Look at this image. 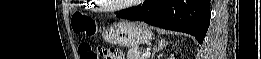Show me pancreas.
Masks as SVG:
<instances>
[{
    "mask_svg": "<svg viewBox=\"0 0 261 59\" xmlns=\"http://www.w3.org/2000/svg\"><path fill=\"white\" fill-rule=\"evenodd\" d=\"M142 52H139L135 48H130L127 52V59H147V57L142 56Z\"/></svg>",
    "mask_w": 261,
    "mask_h": 59,
    "instance_id": "cf45deb5",
    "label": "pancreas"
}]
</instances>
